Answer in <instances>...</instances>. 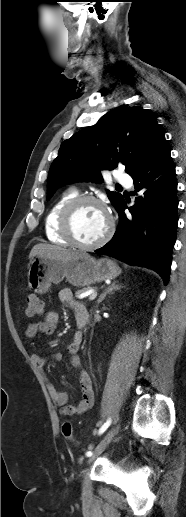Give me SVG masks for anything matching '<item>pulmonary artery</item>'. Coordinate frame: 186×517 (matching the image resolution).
I'll use <instances>...</instances> for the list:
<instances>
[{
    "instance_id": "pulmonary-artery-1",
    "label": "pulmonary artery",
    "mask_w": 186,
    "mask_h": 517,
    "mask_svg": "<svg viewBox=\"0 0 186 517\" xmlns=\"http://www.w3.org/2000/svg\"><path fill=\"white\" fill-rule=\"evenodd\" d=\"M116 181L122 185H127V186H130L132 184L131 177L124 173H118L116 175Z\"/></svg>"
}]
</instances>
